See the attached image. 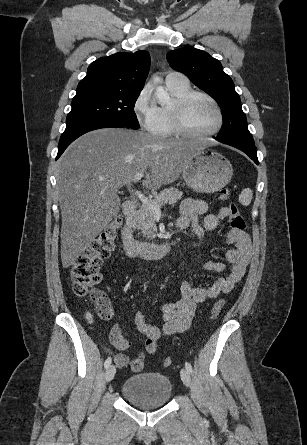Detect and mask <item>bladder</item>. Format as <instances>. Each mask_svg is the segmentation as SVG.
<instances>
[{
	"mask_svg": "<svg viewBox=\"0 0 307 445\" xmlns=\"http://www.w3.org/2000/svg\"><path fill=\"white\" fill-rule=\"evenodd\" d=\"M172 383L161 373L145 372L130 376L121 387L123 397L141 409H157L172 397Z\"/></svg>",
	"mask_w": 307,
	"mask_h": 445,
	"instance_id": "bladder-1",
	"label": "bladder"
}]
</instances>
